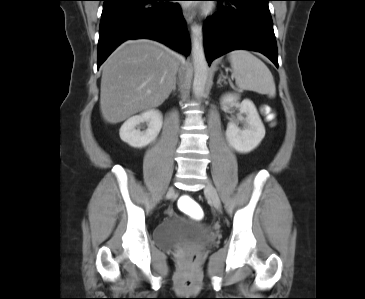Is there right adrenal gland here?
<instances>
[{
  "mask_svg": "<svg viewBox=\"0 0 365 299\" xmlns=\"http://www.w3.org/2000/svg\"><path fill=\"white\" fill-rule=\"evenodd\" d=\"M176 85H177V80L175 79V82H174V85H173V88H172V91L175 92L176 91Z\"/></svg>",
  "mask_w": 365,
  "mask_h": 299,
  "instance_id": "1",
  "label": "right adrenal gland"
}]
</instances>
